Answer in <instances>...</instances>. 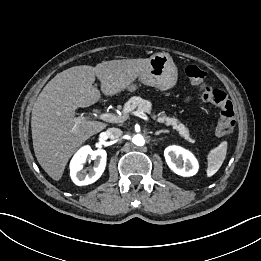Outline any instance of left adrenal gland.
<instances>
[{"instance_id": "1", "label": "left adrenal gland", "mask_w": 261, "mask_h": 261, "mask_svg": "<svg viewBox=\"0 0 261 261\" xmlns=\"http://www.w3.org/2000/svg\"><path fill=\"white\" fill-rule=\"evenodd\" d=\"M161 133H169V131H168V130H159V131H157L154 135L158 136V135H160Z\"/></svg>"}]
</instances>
